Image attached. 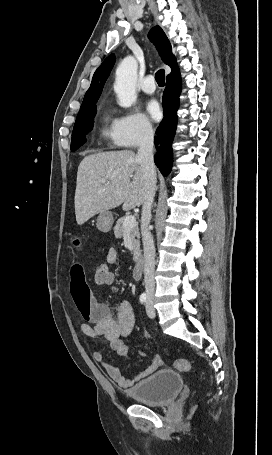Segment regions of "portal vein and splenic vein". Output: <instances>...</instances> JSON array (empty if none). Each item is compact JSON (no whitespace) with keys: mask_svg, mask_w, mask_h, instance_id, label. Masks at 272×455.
<instances>
[{"mask_svg":"<svg viewBox=\"0 0 272 455\" xmlns=\"http://www.w3.org/2000/svg\"><path fill=\"white\" fill-rule=\"evenodd\" d=\"M100 182L106 183V180L101 179ZM136 225V218L134 216H127L123 222L125 229H131Z\"/></svg>","mask_w":272,"mask_h":455,"instance_id":"obj_1","label":"portal vein and splenic vein"}]
</instances>
